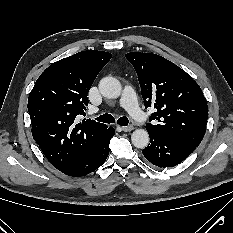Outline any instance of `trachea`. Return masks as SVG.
I'll use <instances>...</instances> for the list:
<instances>
[{
  "label": "trachea",
  "instance_id": "trachea-1",
  "mask_svg": "<svg viewBox=\"0 0 233 233\" xmlns=\"http://www.w3.org/2000/svg\"><path fill=\"white\" fill-rule=\"evenodd\" d=\"M99 122L103 123H115V118L111 114H103L97 118H95ZM117 123L121 126H127L129 124V120L127 117H120L117 120Z\"/></svg>",
  "mask_w": 233,
  "mask_h": 233
}]
</instances>
